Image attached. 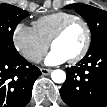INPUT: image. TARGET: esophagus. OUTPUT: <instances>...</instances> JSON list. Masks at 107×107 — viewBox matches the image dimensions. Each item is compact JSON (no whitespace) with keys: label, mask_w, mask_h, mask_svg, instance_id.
<instances>
[{"label":"esophagus","mask_w":107,"mask_h":107,"mask_svg":"<svg viewBox=\"0 0 107 107\" xmlns=\"http://www.w3.org/2000/svg\"><path fill=\"white\" fill-rule=\"evenodd\" d=\"M51 71H52V69H48V68H42L41 69V73L43 75H48V74H50Z\"/></svg>","instance_id":"1"}]
</instances>
